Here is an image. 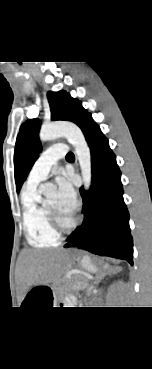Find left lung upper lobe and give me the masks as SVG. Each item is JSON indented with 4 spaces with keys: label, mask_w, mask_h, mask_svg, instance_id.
<instances>
[{
    "label": "left lung upper lobe",
    "mask_w": 152,
    "mask_h": 369,
    "mask_svg": "<svg viewBox=\"0 0 152 369\" xmlns=\"http://www.w3.org/2000/svg\"><path fill=\"white\" fill-rule=\"evenodd\" d=\"M48 100L51 109V119L72 121L79 127L91 115L82 107L77 99H74L65 91L48 92ZM40 129V121L38 119H30L23 123L17 136L14 165H15V181L17 192L38 157L41 151L38 138Z\"/></svg>",
    "instance_id": "5c2ea615"
}]
</instances>
